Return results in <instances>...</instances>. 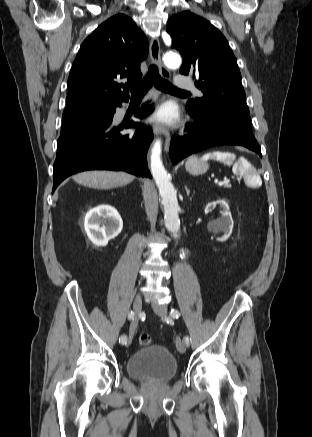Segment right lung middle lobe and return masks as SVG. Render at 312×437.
<instances>
[{"label":"right lung middle lobe","instance_id":"1","mask_svg":"<svg viewBox=\"0 0 312 437\" xmlns=\"http://www.w3.org/2000/svg\"><path fill=\"white\" fill-rule=\"evenodd\" d=\"M113 107H88L65 110L62 115L61 135L108 119Z\"/></svg>","mask_w":312,"mask_h":437}]
</instances>
